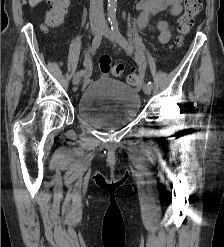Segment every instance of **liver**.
<instances>
[{
  "instance_id": "1",
  "label": "liver",
  "mask_w": 224,
  "mask_h": 247,
  "mask_svg": "<svg viewBox=\"0 0 224 247\" xmlns=\"http://www.w3.org/2000/svg\"><path fill=\"white\" fill-rule=\"evenodd\" d=\"M29 2V6H31V8H34V6H37V4H39V2H42V0H28Z\"/></svg>"
}]
</instances>
